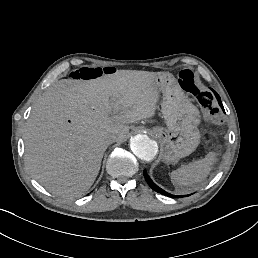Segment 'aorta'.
Returning <instances> with one entry per match:
<instances>
[{"mask_svg":"<svg viewBox=\"0 0 258 258\" xmlns=\"http://www.w3.org/2000/svg\"><path fill=\"white\" fill-rule=\"evenodd\" d=\"M130 148L139 159L151 161L158 152L157 143L145 134H138L131 139Z\"/></svg>","mask_w":258,"mask_h":258,"instance_id":"aorta-1","label":"aorta"}]
</instances>
